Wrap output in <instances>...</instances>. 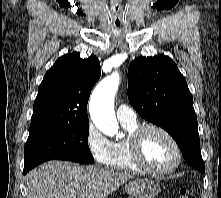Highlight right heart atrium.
<instances>
[{"instance_id": "1", "label": "right heart atrium", "mask_w": 221, "mask_h": 198, "mask_svg": "<svg viewBox=\"0 0 221 198\" xmlns=\"http://www.w3.org/2000/svg\"><path fill=\"white\" fill-rule=\"evenodd\" d=\"M85 143L97 164L102 166L109 165L112 153V142L109 141L93 123H90L87 127Z\"/></svg>"}]
</instances>
